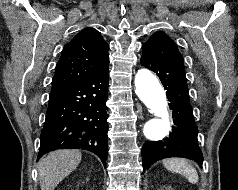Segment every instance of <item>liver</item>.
<instances>
[{"label":"liver","instance_id":"1","mask_svg":"<svg viewBox=\"0 0 238 190\" xmlns=\"http://www.w3.org/2000/svg\"><path fill=\"white\" fill-rule=\"evenodd\" d=\"M81 158L79 150H56L43 157L38 163L41 190H54L78 167Z\"/></svg>","mask_w":238,"mask_h":190}]
</instances>
